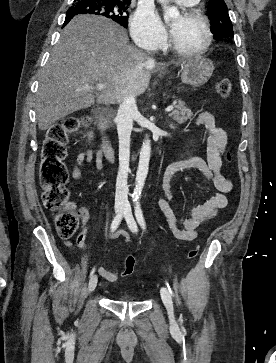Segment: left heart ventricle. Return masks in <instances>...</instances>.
<instances>
[{
    "label": "left heart ventricle",
    "mask_w": 276,
    "mask_h": 363,
    "mask_svg": "<svg viewBox=\"0 0 276 363\" xmlns=\"http://www.w3.org/2000/svg\"><path fill=\"white\" fill-rule=\"evenodd\" d=\"M171 26L174 28L173 38L181 48L196 50L204 45L206 32L200 21L179 15L173 19Z\"/></svg>",
    "instance_id": "1"
}]
</instances>
